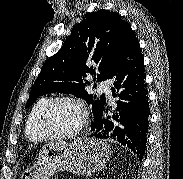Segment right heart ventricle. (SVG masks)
<instances>
[{"mask_svg":"<svg viewBox=\"0 0 183 179\" xmlns=\"http://www.w3.org/2000/svg\"><path fill=\"white\" fill-rule=\"evenodd\" d=\"M49 100L48 97H43L39 99L33 108L31 109L27 122H26V127H25V133L27 137L35 142L42 141L46 137L39 131L38 125H37V120L39 113L43 106L46 104V102Z\"/></svg>","mask_w":183,"mask_h":179,"instance_id":"1","label":"right heart ventricle"}]
</instances>
